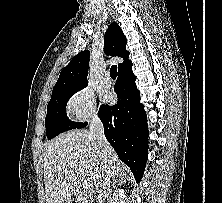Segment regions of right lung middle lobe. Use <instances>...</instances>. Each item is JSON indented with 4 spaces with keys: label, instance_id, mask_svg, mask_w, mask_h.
<instances>
[{
    "label": "right lung middle lobe",
    "instance_id": "dd1d6c3e",
    "mask_svg": "<svg viewBox=\"0 0 222 203\" xmlns=\"http://www.w3.org/2000/svg\"><path fill=\"white\" fill-rule=\"evenodd\" d=\"M86 86L52 92L51 100L47 105V115L45 118L48 139H52L60 133L74 129L79 124V122L69 120L66 115V105L72 95Z\"/></svg>",
    "mask_w": 222,
    "mask_h": 203
}]
</instances>
